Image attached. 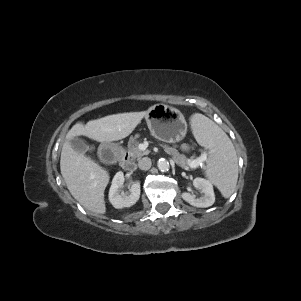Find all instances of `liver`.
I'll return each instance as SVG.
<instances>
[{
	"mask_svg": "<svg viewBox=\"0 0 301 301\" xmlns=\"http://www.w3.org/2000/svg\"><path fill=\"white\" fill-rule=\"evenodd\" d=\"M147 112H129L108 115L83 125L76 123L66 136L60 158V170L72 196L87 210L106 212L104 191L109 174L101 166L83 154L77 153L70 144L76 136H87L98 142L117 141L129 136Z\"/></svg>",
	"mask_w": 301,
	"mask_h": 301,
	"instance_id": "1",
	"label": "liver"
}]
</instances>
